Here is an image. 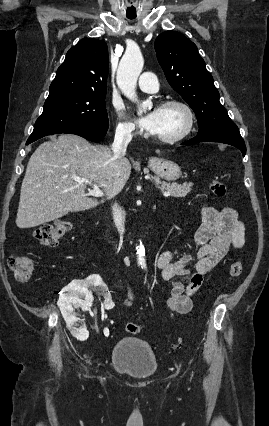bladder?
<instances>
[{
    "label": "bladder",
    "instance_id": "bladder-1",
    "mask_svg": "<svg viewBox=\"0 0 269 426\" xmlns=\"http://www.w3.org/2000/svg\"><path fill=\"white\" fill-rule=\"evenodd\" d=\"M111 365L125 374L144 378L157 370L156 354L150 345L137 337L119 340L111 353Z\"/></svg>",
    "mask_w": 269,
    "mask_h": 426
}]
</instances>
